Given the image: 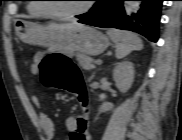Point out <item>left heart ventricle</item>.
<instances>
[{"label":"left heart ventricle","mask_w":182,"mask_h":140,"mask_svg":"<svg viewBox=\"0 0 182 140\" xmlns=\"http://www.w3.org/2000/svg\"><path fill=\"white\" fill-rule=\"evenodd\" d=\"M59 2L54 3L55 10L63 13H70L80 10L84 7L85 1L82 0H57Z\"/></svg>","instance_id":"obj_1"}]
</instances>
